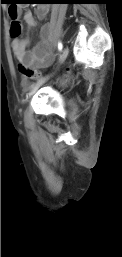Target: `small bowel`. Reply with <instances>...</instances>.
Wrapping results in <instances>:
<instances>
[{
    "instance_id": "1",
    "label": "small bowel",
    "mask_w": 122,
    "mask_h": 257,
    "mask_svg": "<svg viewBox=\"0 0 122 257\" xmlns=\"http://www.w3.org/2000/svg\"><path fill=\"white\" fill-rule=\"evenodd\" d=\"M22 10H18V14ZM49 8L46 5H39L36 8V17L28 10L23 14V20L29 28L36 25V18L44 20L48 14ZM9 12V10H8ZM51 26L46 23L41 27L40 39L38 43L30 50L28 38H13L11 46L15 57L20 64L34 69L48 67L52 63V55L50 52Z\"/></svg>"
}]
</instances>
